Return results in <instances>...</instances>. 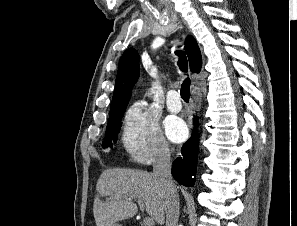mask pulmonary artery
<instances>
[{"mask_svg": "<svg viewBox=\"0 0 297 226\" xmlns=\"http://www.w3.org/2000/svg\"><path fill=\"white\" fill-rule=\"evenodd\" d=\"M166 104H167V108L171 112H179L181 110L182 104L177 91L170 90L167 93Z\"/></svg>", "mask_w": 297, "mask_h": 226, "instance_id": "pulmonary-artery-1", "label": "pulmonary artery"}]
</instances>
